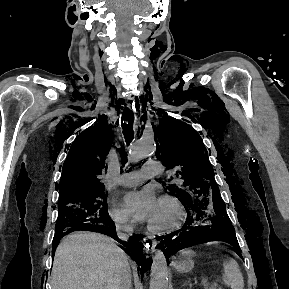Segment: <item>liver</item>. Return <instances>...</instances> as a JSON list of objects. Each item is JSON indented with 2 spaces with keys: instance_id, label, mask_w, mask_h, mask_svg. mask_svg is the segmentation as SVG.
<instances>
[{
  "instance_id": "liver-1",
  "label": "liver",
  "mask_w": 289,
  "mask_h": 289,
  "mask_svg": "<svg viewBox=\"0 0 289 289\" xmlns=\"http://www.w3.org/2000/svg\"><path fill=\"white\" fill-rule=\"evenodd\" d=\"M127 254L111 238L90 232L66 236L52 267V289H119Z\"/></svg>"
}]
</instances>
